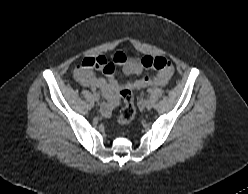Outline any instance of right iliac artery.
<instances>
[{
	"label": "right iliac artery",
	"instance_id": "right-iliac-artery-1",
	"mask_svg": "<svg viewBox=\"0 0 248 194\" xmlns=\"http://www.w3.org/2000/svg\"><path fill=\"white\" fill-rule=\"evenodd\" d=\"M91 91L95 94L96 93V89H91Z\"/></svg>",
	"mask_w": 248,
	"mask_h": 194
}]
</instances>
